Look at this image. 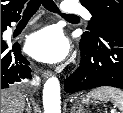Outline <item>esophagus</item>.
<instances>
[{
  "mask_svg": "<svg viewBox=\"0 0 123 113\" xmlns=\"http://www.w3.org/2000/svg\"><path fill=\"white\" fill-rule=\"evenodd\" d=\"M41 75H42V77H43L44 79H47V78H49V77L52 75V72L49 71V70H45V71L42 72Z\"/></svg>",
  "mask_w": 123,
  "mask_h": 113,
  "instance_id": "34e87169",
  "label": "esophagus"
}]
</instances>
